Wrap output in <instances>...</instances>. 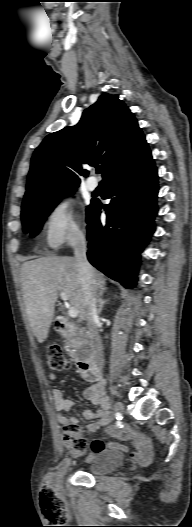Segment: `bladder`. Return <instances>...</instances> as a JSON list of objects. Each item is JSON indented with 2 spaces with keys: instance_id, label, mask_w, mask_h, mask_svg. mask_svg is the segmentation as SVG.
Returning a JSON list of instances; mask_svg holds the SVG:
<instances>
[{
  "instance_id": "31cf9c89",
  "label": "bladder",
  "mask_w": 192,
  "mask_h": 527,
  "mask_svg": "<svg viewBox=\"0 0 192 527\" xmlns=\"http://www.w3.org/2000/svg\"><path fill=\"white\" fill-rule=\"evenodd\" d=\"M124 462V455L117 450L105 449L93 452L86 460V471L94 476L109 474Z\"/></svg>"
}]
</instances>
